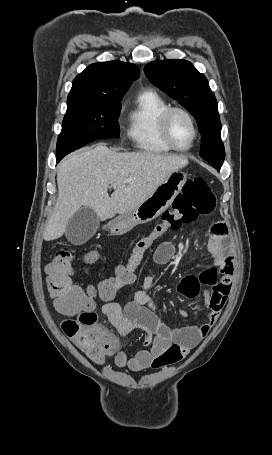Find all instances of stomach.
Wrapping results in <instances>:
<instances>
[{"label": "stomach", "instance_id": "obj_1", "mask_svg": "<svg viewBox=\"0 0 272 455\" xmlns=\"http://www.w3.org/2000/svg\"><path fill=\"white\" fill-rule=\"evenodd\" d=\"M186 180L187 175L180 170L171 173L138 207L113 219L109 223L110 232L116 236L123 235L136 225L157 218L172 204Z\"/></svg>", "mask_w": 272, "mask_h": 455}]
</instances>
